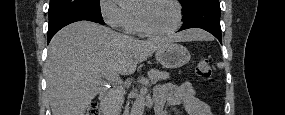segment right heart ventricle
Masks as SVG:
<instances>
[{
	"mask_svg": "<svg viewBox=\"0 0 285 115\" xmlns=\"http://www.w3.org/2000/svg\"><path fill=\"white\" fill-rule=\"evenodd\" d=\"M133 31H136V32H139V33H143L140 30L139 25H138V21L136 19H135V22H134Z\"/></svg>",
	"mask_w": 285,
	"mask_h": 115,
	"instance_id": "e07e8e85",
	"label": "right heart ventricle"
}]
</instances>
